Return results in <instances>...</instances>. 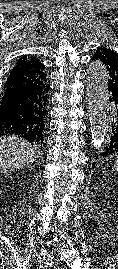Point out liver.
I'll list each match as a JSON object with an SVG mask.
<instances>
[{
  "mask_svg": "<svg viewBox=\"0 0 118 269\" xmlns=\"http://www.w3.org/2000/svg\"><path fill=\"white\" fill-rule=\"evenodd\" d=\"M36 160L35 149L17 136L0 138V173L18 170Z\"/></svg>",
  "mask_w": 118,
  "mask_h": 269,
  "instance_id": "obj_1",
  "label": "liver"
}]
</instances>
